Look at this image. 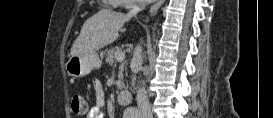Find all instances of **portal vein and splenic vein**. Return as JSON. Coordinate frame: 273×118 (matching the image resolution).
<instances>
[{
	"instance_id": "obj_1",
	"label": "portal vein and splenic vein",
	"mask_w": 273,
	"mask_h": 118,
	"mask_svg": "<svg viewBox=\"0 0 273 118\" xmlns=\"http://www.w3.org/2000/svg\"><path fill=\"white\" fill-rule=\"evenodd\" d=\"M124 58H125V54H124L122 51L117 52V53L115 54V59H116L118 62L123 61Z\"/></svg>"
}]
</instances>
